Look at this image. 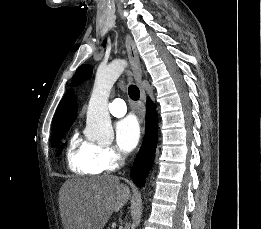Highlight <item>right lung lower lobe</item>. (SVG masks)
I'll return each mask as SVG.
<instances>
[{
    "label": "right lung lower lobe",
    "instance_id": "1",
    "mask_svg": "<svg viewBox=\"0 0 261 229\" xmlns=\"http://www.w3.org/2000/svg\"><path fill=\"white\" fill-rule=\"evenodd\" d=\"M157 146V115L155 106L150 99L147 100L146 133L140 152L134 162L131 177L138 187L144 186L145 177L153 163Z\"/></svg>",
    "mask_w": 261,
    "mask_h": 229
}]
</instances>
